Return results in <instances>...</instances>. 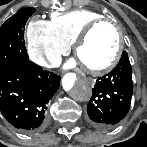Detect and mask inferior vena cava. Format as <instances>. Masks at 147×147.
I'll list each match as a JSON object with an SVG mask.
<instances>
[{
	"mask_svg": "<svg viewBox=\"0 0 147 147\" xmlns=\"http://www.w3.org/2000/svg\"><path fill=\"white\" fill-rule=\"evenodd\" d=\"M60 64H61V60H58V61L53 62L51 64H46V67H49V68L58 67V66H60Z\"/></svg>",
	"mask_w": 147,
	"mask_h": 147,
	"instance_id": "inferior-vena-cava-1",
	"label": "inferior vena cava"
}]
</instances>
